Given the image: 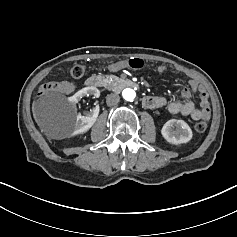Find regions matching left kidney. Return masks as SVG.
Masks as SVG:
<instances>
[{
    "mask_svg": "<svg viewBox=\"0 0 237 237\" xmlns=\"http://www.w3.org/2000/svg\"><path fill=\"white\" fill-rule=\"evenodd\" d=\"M162 136L172 144L187 143L192 139L193 133L189 125L183 120H168L161 130Z\"/></svg>",
    "mask_w": 237,
    "mask_h": 237,
    "instance_id": "obj_1",
    "label": "left kidney"
}]
</instances>
